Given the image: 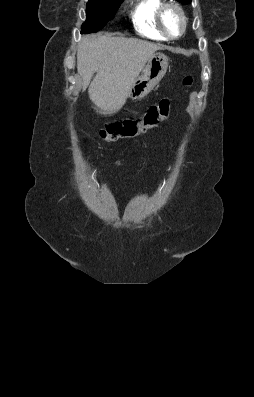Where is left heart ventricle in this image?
I'll use <instances>...</instances> for the list:
<instances>
[{
  "instance_id": "left-heart-ventricle-1",
  "label": "left heart ventricle",
  "mask_w": 254,
  "mask_h": 397,
  "mask_svg": "<svg viewBox=\"0 0 254 397\" xmlns=\"http://www.w3.org/2000/svg\"><path fill=\"white\" fill-rule=\"evenodd\" d=\"M164 25L171 35H178L180 33L182 22L173 9H168L164 14Z\"/></svg>"
}]
</instances>
